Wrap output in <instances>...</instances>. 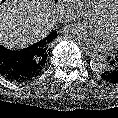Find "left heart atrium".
<instances>
[{"label": "left heart atrium", "instance_id": "1", "mask_svg": "<svg viewBox=\"0 0 118 118\" xmlns=\"http://www.w3.org/2000/svg\"><path fill=\"white\" fill-rule=\"evenodd\" d=\"M65 37L89 50H106L112 46V40L103 26L77 23L65 29Z\"/></svg>", "mask_w": 118, "mask_h": 118}]
</instances>
